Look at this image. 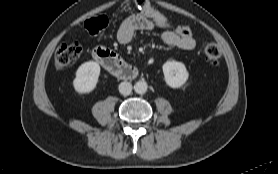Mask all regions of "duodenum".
Instances as JSON below:
<instances>
[{"label":"duodenum","mask_w":278,"mask_h":174,"mask_svg":"<svg viewBox=\"0 0 278 174\" xmlns=\"http://www.w3.org/2000/svg\"><path fill=\"white\" fill-rule=\"evenodd\" d=\"M93 56L107 71L117 77L130 79L137 75L136 68L128 64L114 51L98 47L93 51Z\"/></svg>","instance_id":"duodenum-1"}]
</instances>
